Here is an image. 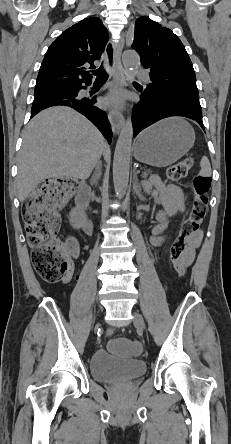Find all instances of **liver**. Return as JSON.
<instances>
[{
	"label": "liver",
	"mask_w": 231,
	"mask_h": 444,
	"mask_svg": "<svg viewBox=\"0 0 231 444\" xmlns=\"http://www.w3.org/2000/svg\"><path fill=\"white\" fill-rule=\"evenodd\" d=\"M22 138L16 179L21 202L45 179H87L101 154H109L99 130L83 115L65 106L38 113L25 127Z\"/></svg>",
	"instance_id": "1"
}]
</instances>
